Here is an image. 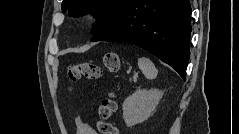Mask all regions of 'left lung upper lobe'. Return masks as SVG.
I'll return each instance as SVG.
<instances>
[{
    "instance_id": "5c2ea615",
    "label": "left lung upper lobe",
    "mask_w": 239,
    "mask_h": 134,
    "mask_svg": "<svg viewBox=\"0 0 239 134\" xmlns=\"http://www.w3.org/2000/svg\"><path fill=\"white\" fill-rule=\"evenodd\" d=\"M127 0H63L62 10H68L69 16L78 17L91 12L97 23L91 31L96 35L109 27L116 19L121 8Z\"/></svg>"
}]
</instances>
